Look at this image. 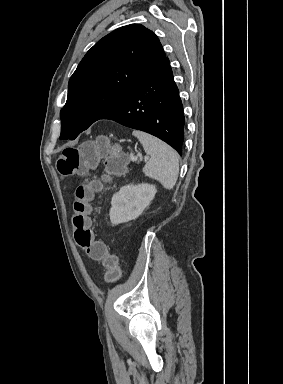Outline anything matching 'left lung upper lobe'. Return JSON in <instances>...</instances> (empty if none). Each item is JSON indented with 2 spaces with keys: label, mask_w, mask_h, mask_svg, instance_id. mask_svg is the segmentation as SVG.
I'll return each mask as SVG.
<instances>
[{
  "label": "left lung upper lobe",
  "mask_w": 283,
  "mask_h": 384,
  "mask_svg": "<svg viewBox=\"0 0 283 384\" xmlns=\"http://www.w3.org/2000/svg\"><path fill=\"white\" fill-rule=\"evenodd\" d=\"M164 58L158 37L140 24L118 28L99 40L69 80L60 139H75L118 106Z\"/></svg>",
  "instance_id": "5c2ea615"
}]
</instances>
